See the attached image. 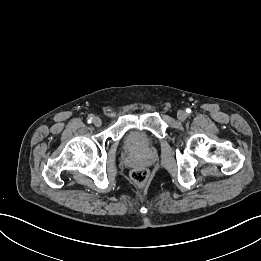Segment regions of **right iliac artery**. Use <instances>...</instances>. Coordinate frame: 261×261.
Returning a JSON list of instances; mask_svg holds the SVG:
<instances>
[{
    "instance_id": "82829eb1",
    "label": "right iliac artery",
    "mask_w": 261,
    "mask_h": 261,
    "mask_svg": "<svg viewBox=\"0 0 261 261\" xmlns=\"http://www.w3.org/2000/svg\"><path fill=\"white\" fill-rule=\"evenodd\" d=\"M92 119H93V117L90 116V117L88 118V123H91Z\"/></svg>"
}]
</instances>
